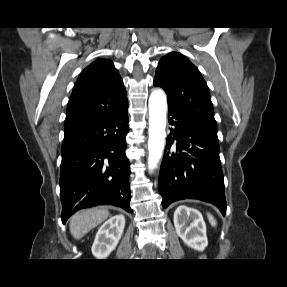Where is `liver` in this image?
I'll return each mask as SVG.
<instances>
[{
  "label": "liver",
  "instance_id": "1",
  "mask_svg": "<svg viewBox=\"0 0 287 287\" xmlns=\"http://www.w3.org/2000/svg\"><path fill=\"white\" fill-rule=\"evenodd\" d=\"M109 216L104 208H92L77 212L70 219V232L75 239H81L90 230L97 227Z\"/></svg>",
  "mask_w": 287,
  "mask_h": 287
}]
</instances>
